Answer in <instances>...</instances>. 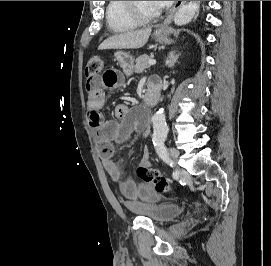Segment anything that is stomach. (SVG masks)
<instances>
[{
    "label": "stomach",
    "mask_w": 271,
    "mask_h": 266,
    "mask_svg": "<svg viewBox=\"0 0 271 266\" xmlns=\"http://www.w3.org/2000/svg\"><path fill=\"white\" fill-rule=\"evenodd\" d=\"M153 38L162 44H171L173 42V40L169 38L168 30H156L153 34ZM114 57L126 74H130L132 72L134 65V59L132 56L125 52L117 51L114 54Z\"/></svg>",
    "instance_id": "1"
}]
</instances>
